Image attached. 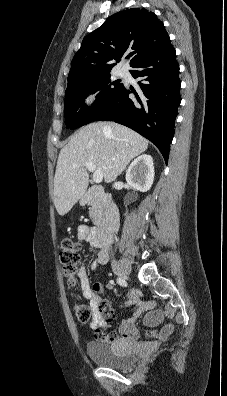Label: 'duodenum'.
Returning <instances> with one entry per match:
<instances>
[{
	"mask_svg": "<svg viewBox=\"0 0 227 396\" xmlns=\"http://www.w3.org/2000/svg\"><path fill=\"white\" fill-rule=\"evenodd\" d=\"M81 201L83 204L96 202L102 205L103 217L94 234V239L100 248L107 247L119 228L120 217L115 202L110 194L98 186L88 189Z\"/></svg>",
	"mask_w": 227,
	"mask_h": 396,
	"instance_id": "1",
	"label": "duodenum"
}]
</instances>
